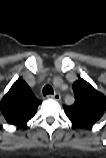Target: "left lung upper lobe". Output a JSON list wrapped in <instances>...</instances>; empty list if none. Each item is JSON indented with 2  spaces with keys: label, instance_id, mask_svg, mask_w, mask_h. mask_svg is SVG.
Masks as SVG:
<instances>
[{
  "label": "left lung upper lobe",
  "instance_id": "5c2ea615",
  "mask_svg": "<svg viewBox=\"0 0 106 158\" xmlns=\"http://www.w3.org/2000/svg\"><path fill=\"white\" fill-rule=\"evenodd\" d=\"M72 88L75 102L63 106L65 113L74 126L91 127L106 113V97L82 78L74 82Z\"/></svg>",
  "mask_w": 106,
  "mask_h": 158
}]
</instances>
